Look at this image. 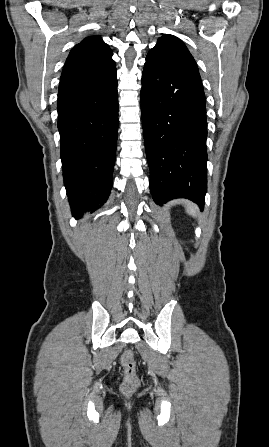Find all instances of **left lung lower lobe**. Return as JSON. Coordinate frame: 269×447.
I'll use <instances>...</instances> for the list:
<instances>
[{
  "label": "left lung lower lobe",
  "mask_w": 269,
  "mask_h": 447,
  "mask_svg": "<svg viewBox=\"0 0 269 447\" xmlns=\"http://www.w3.org/2000/svg\"><path fill=\"white\" fill-rule=\"evenodd\" d=\"M140 99L155 203L187 198L202 210L207 191V122L198 69L185 61L149 52Z\"/></svg>",
  "instance_id": "0a47b994"
}]
</instances>
